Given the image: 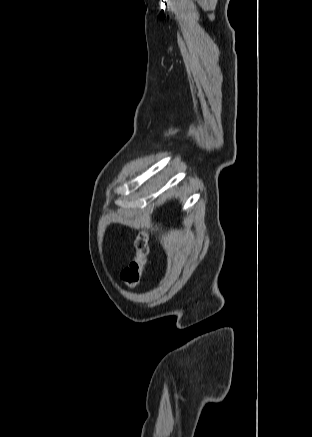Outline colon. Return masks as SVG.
<instances>
[{"label": "colon", "mask_w": 312, "mask_h": 437, "mask_svg": "<svg viewBox=\"0 0 312 437\" xmlns=\"http://www.w3.org/2000/svg\"><path fill=\"white\" fill-rule=\"evenodd\" d=\"M135 255L130 263L121 271L120 278L128 287H135L141 279L142 271L149 254V236L146 232L137 234L134 241Z\"/></svg>", "instance_id": "5ec220e1"}]
</instances>
